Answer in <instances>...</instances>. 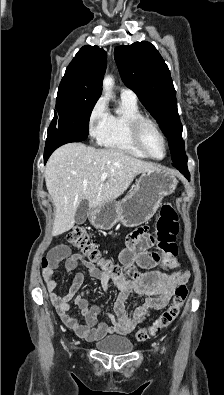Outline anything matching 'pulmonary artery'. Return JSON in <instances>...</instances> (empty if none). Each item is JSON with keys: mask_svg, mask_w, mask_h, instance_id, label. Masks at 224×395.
<instances>
[{"mask_svg": "<svg viewBox=\"0 0 224 395\" xmlns=\"http://www.w3.org/2000/svg\"><path fill=\"white\" fill-rule=\"evenodd\" d=\"M120 96L123 99H127V100H130V101H133V102H137V95L131 89L122 88L120 90Z\"/></svg>", "mask_w": 224, "mask_h": 395, "instance_id": "pulmonary-artery-1", "label": "pulmonary artery"}]
</instances>
